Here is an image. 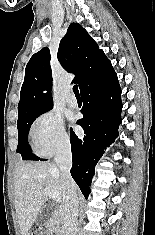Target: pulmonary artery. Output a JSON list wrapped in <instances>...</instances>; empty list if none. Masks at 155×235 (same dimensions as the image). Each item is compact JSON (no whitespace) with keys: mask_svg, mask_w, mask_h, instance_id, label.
<instances>
[{"mask_svg":"<svg viewBox=\"0 0 155 235\" xmlns=\"http://www.w3.org/2000/svg\"><path fill=\"white\" fill-rule=\"evenodd\" d=\"M67 104L71 108H76L78 105L77 99L72 92H69V94L67 96Z\"/></svg>","mask_w":155,"mask_h":235,"instance_id":"pulmonary-artery-1","label":"pulmonary artery"}]
</instances>
